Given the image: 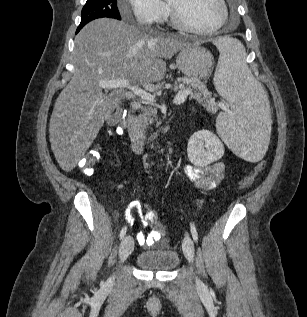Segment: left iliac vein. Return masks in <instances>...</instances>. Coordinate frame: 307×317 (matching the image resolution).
<instances>
[{
	"mask_svg": "<svg viewBox=\"0 0 307 317\" xmlns=\"http://www.w3.org/2000/svg\"><path fill=\"white\" fill-rule=\"evenodd\" d=\"M183 252L190 263H193L194 260V242L191 237L186 236L183 239L182 243ZM196 284L200 289L204 288V284L197 278Z\"/></svg>",
	"mask_w": 307,
	"mask_h": 317,
	"instance_id": "1",
	"label": "left iliac vein"
}]
</instances>
